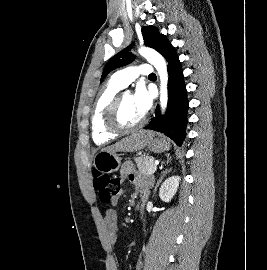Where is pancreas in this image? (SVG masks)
Returning <instances> with one entry per match:
<instances>
[{
	"label": "pancreas",
	"mask_w": 267,
	"mask_h": 270,
	"mask_svg": "<svg viewBox=\"0 0 267 270\" xmlns=\"http://www.w3.org/2000/svg\"><path fill=\"white\" fill-rule=\"evenodd\" d=\"M138 170L142 175H152L148 172L154 167L155 160L152 156H140L135 158Z\"/></svg>",
	"instance_id": "1"
}]
</instances>
